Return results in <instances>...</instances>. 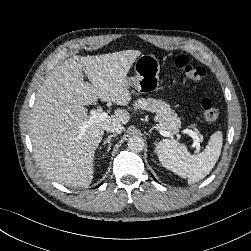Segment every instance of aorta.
Segmentation results:
<instances>
[{"label": "aorta", "mask_w": 251, "mask_h": 251, "mask_svg": "<svg viewBox=\"0 0 251 251\" xmlns=\"http://www.w3.org/2000/svg\"><path fill=\"white\" fill-rule=\"evenodd\" d=\"M128 148L134 152H140L144 149L145 142L141 136L133 135L128 139Z\"/></svg>", "instance_id": "1"}]
</instances>
